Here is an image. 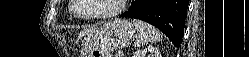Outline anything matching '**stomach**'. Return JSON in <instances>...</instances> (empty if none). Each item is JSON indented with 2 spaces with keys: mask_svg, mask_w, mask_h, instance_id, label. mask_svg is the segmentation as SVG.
<instances>
[{
  "mask_svg": "<svg viewBox=\"0 0 249 57\" xmlns=\"http://www.w3.org/2000/svg\"><path fill=\"white\" fill-rule=\"evenodd\" d=\"M134 38L135 28L130 21H110L84 38L82 57H112V50L126 47Z\"/></svg>",
  "mask_w": 249,
  "mask_h": 57,
  "instance_id": "0dacf381",
  "label": "stomach"
}]
</instances>
